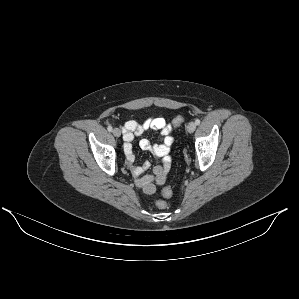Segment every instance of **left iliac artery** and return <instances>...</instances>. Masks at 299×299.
<instances>
[{"mask_svg": "<svg viewBox=\"0 0 299 299\" xmlns=\"http://www.w3.org/2000/svg\"><path fill=\"white\" fill-rule=\"evenodd\" d=\"M195 124H196V125H199V124H200V120H199V119H196V120H195Z\"/></svg>", "mask_w": 299, "mask_h": 299, "instance_id": "obj_1", "label": "left iliac artery"}]
</instances>
